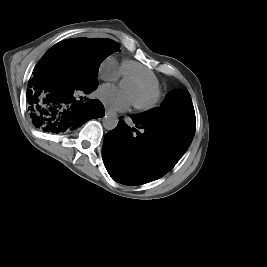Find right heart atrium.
I'll return each mask as SVG.
<instances>
[{
    "instance_id": "d8ad5b80",
    "label": "right heart atrium",
    "mask_w": 267,
    "mask_h": 267,
    "mask_svg": "<svg viewBox=\"0 0 267 267\" xmlns=\"http://www.w3.org/2000/svg\"><path fill=\"white\" fill-rule=\"evenodd\" d=\"M121 70L116 66V61L108 57L100 67V76L108 81H115L119 78Z\"/></svg>"
}]
</instances>
